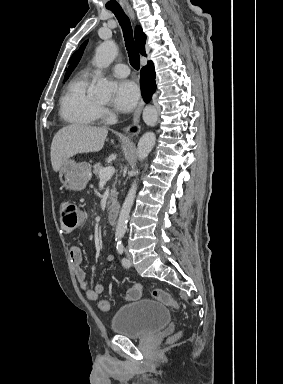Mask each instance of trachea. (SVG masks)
<instances>
[{
    "label": "trachea",
    "instance_id": "trachea-1",
    "mask_svg": "<svg viewBox=\"0 0 283 384\" xmlns=\"http://www.w3.org/2000/svg\"><path fill=\"white\" fill-rule=\"evenodd\" d=\"M108 10H111L115 14L122 28L126 50L128 51V56H129V61L131 66L136 70H139L140 57H139V53L135 48L134 39H133V30H132L131 23L128 16L124 13L121 7L109 8Z\"/></svg>",
    "mask_w": 283,
    "mask_h": 384
}]
</instances>
